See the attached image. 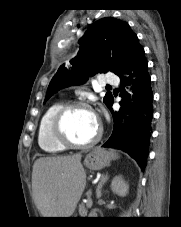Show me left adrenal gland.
<instances>
[{
  "instance_id": "left-adrenal-gland-1",
  "label": "left adrenal gland",
  "mask_w": 181,
  "mask_h": 227,
  "mask_svg": "<svg viewBox=\"0 0 181 227\" xmlns=\"http://www.w3.org/2000/svg\"><path fill=\"white\" fill-rule=\"evenodd\" d=\"M108 180V174H103L101 176L100 182L98 183L97 189H96V193H97V198L100 199L102 196V187L103 185L107 182Z\"/></svg>"
}]
</instances>
